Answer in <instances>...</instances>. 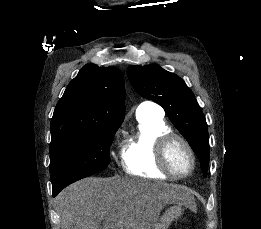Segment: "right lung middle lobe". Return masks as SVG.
<instances>
[{
	"instance_id": "1",
	"label": "right lung middle lobe",
	"mask_w": 261,
	"mask_h": 229,
	"mask_svg": "<svg viewBox=\"0 0 261 229\" xmlns=\"http://www.w3.org/2000/svg\"><path fill=\"white\" fill-rule=\"evenodd\" d=\"M120 125L97 126L50 146L53 196L67 185L107 168L110 145Z\"/></svg>"
}]
</instances>
